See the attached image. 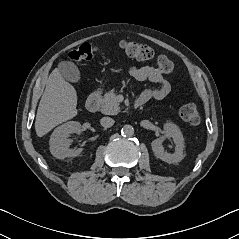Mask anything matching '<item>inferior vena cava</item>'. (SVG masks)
<instances>
[{
	"instance_id": "602c4592",
	"label": "inferior vena cava",
	"mask_w": 239,
	"mask_h": 239,
	"mask_svg": "<svg viewBox=\"0 0 239 239\" xmlns=\"http://www.w3.org/2000/svg\"><path fill=\"white\" fill-rule=\"evenodd\" d=\"M114 119L110 118V117H103L101 120H100V124L102 127L104 128H109L111 126L114 125Z\"/></svg>"
}]
</instances>
